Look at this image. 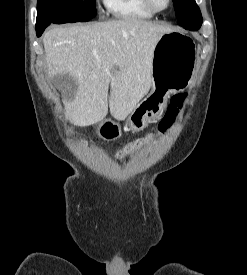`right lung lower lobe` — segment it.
<instances>
[{
  "label": "right lung lower lobe",
  "instance_id": "right-lung-lower-lobe-1",
  "mask_svg": "<svg viewBox=\"0 0 247 275\" xmlns=\"http://www.w3.org/2000/svg\"><path fill=\"white\" fill-rule=\"evenodd\" d=\"M47 26H36L37 36L40 37Z\"/></svg>",
  "mask_w": 247,
  "mask_h": 275
}]
</instances>
